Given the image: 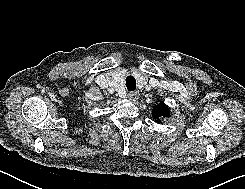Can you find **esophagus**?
<instances>
[{
    "label": "esophagus",
    "instance_id": "1",
    "mask_svg": "<svg viewBox=\"0 0 245 189\" xmlns=\"http://www.w3.org/2000/svg\"><path fill=\"white\" fill-rule=\"evenodd\" d=\"M127 97L129 100L135 101L139 98V94L137 92H129Z\"/></svg>",
    "mask_w": 245,
    "mask_h": 189
}]
</instances>
